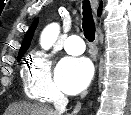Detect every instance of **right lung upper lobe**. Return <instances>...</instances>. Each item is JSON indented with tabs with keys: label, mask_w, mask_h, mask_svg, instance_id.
<instances>
[{
	"label": "right lung upper lobe",
	"mask_w": 131,
	"mask_h": 115,
	"mask_svg": "<svg viewBox=\"0 0 131 115\" xmlns=\"http://www.w3.org/2000/svg\"><path fill=\"white\" fill-rule=\"evenodd\" d=\"M101 10H102V3L100 4L99 8H98V16H100L101 14ZM37 23H38V19H36L31 27L29 28V30L27 31L25 37H24V40H23V43H22V46L20 48V51H19V54L18 56L24 54L26 52V50L28 49V47L30 46V43H31V40H32V37L34 35V31H35V28L37 26Z\"/></svg>",
	"instance_id": "obj_1"
}]
</instances>
